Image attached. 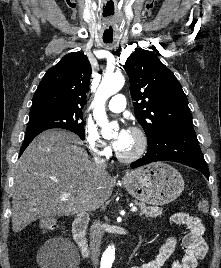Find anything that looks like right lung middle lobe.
Instances as JSON below:
<instances>
[{"instance_id": "1", "label": "right lung middle lobe", "mask_w": 221, "mask_h": 268, "mask_svg": "<svg viewBox=\"0 0 221 268\" xmlns=\"http://www.w3.org/2000/svg\"><path fill=\"white\" fill-rule=\"evenodd\" d=\"M82 111L74 110H45L30 113L27 131L38 129L62 128L76 133L84 138Z\"/></svg>"}]
</instances>
